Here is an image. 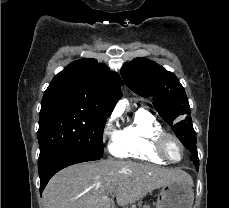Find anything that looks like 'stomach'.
Masks as SVG:
<instances>
[{
    "mask_svg": "<svg viewBox=\"0 0 229 208\" xmlns=\"http://www.w3.org/2000/svg\"><path fill=\"white\" fill-rule=\"evenodd\" d=\"M193 202L194 192L190 184L170 182L162 186L156 208H192Z\"/></svg>",
    "mask_w": 229,
    "mask_h": 208,
    "instance_id": "0dacf381",
    "label": "stomach"
}]
</instances>
